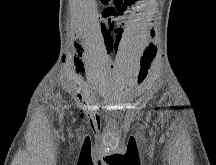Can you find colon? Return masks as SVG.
Wrapping results in <instances>:
<instances>
[{
  "label": "colon",
  "instance_id": "1",
  "mask_svg": "<svg viewBox=\"0 0 216 165\" xmlns=\"http://www.w3.org/2000/svg\"><path fill=\"white\" fill-rule=\"evenodd\" d=\"M103 4H109L113 2L116 7L125 6L130 0H99Z\"/></svg>",
  "mask_w": 216,
  "mask_h": 165
}]
</instances>
